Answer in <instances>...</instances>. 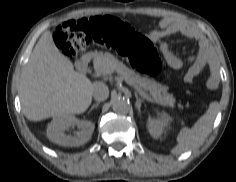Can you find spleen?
<instances>
[{"instance_id": "3e777b00", "label": "spleen", "mask_w": 236, "mask_h": 182, "mask_svg": "<svg viewBox=\"0 0 236 182\" xmlns=\"http://www.w3.org/2000/svg\"><path fill=\"white\" fill-rule=\"evenodd\" d=\"M218 111V104L213 102L192 128L184 127L177 136L178 144L171 150L175 155L199 147L208 136Z\"/></svg>"}]
</instances>
